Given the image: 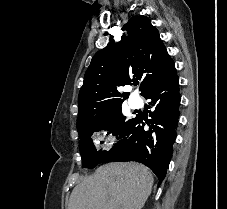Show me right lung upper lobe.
<instances>
[{
    "label": "right lung upper lobe",
    "instance_id": "1",
    "mask_svg": "<svg viewBox=\"0 0 227 209\" xmlns=\"http://www.w3.org/2000/svg\"><path fill=\"white\" fill-rule=\"evenodd\" d=\"M123 30L128 36L117 44L111 41L93 56L78 96V118L100 114L109 99L127 98L129 93L121 95L117 88L135 78L142 80L144 95L158 70L173 62L147 17H132Z\"/></svg>",
    "mask_w": 227,
    "mask_h": 209
}]
</instances>
